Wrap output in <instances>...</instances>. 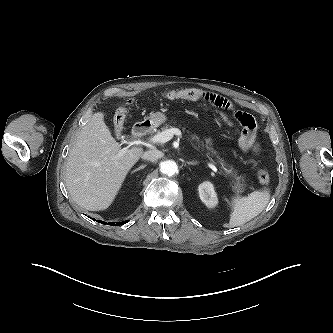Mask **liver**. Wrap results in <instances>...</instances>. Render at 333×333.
<instances>
[{
  "label": "liver",
  "instance_id": "1",
  "mask_svg": "<svg viewBox=\"0 0 333 333\" xmlns=\"http://www.w3.org/2000/svg\"><path fill=\"white\" fill-rule=\"evenodd\" d=\"M142 154L139 147L121 149L104 114L94 113L68 155L65 182L72 199L89 211L107 209Z\"/></svg>",
  "mask_w": 333,
  "mask_h": 333
}]
</instances>
